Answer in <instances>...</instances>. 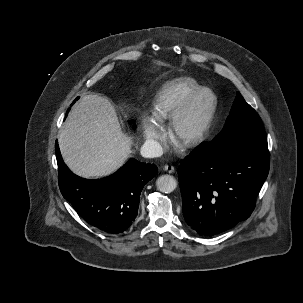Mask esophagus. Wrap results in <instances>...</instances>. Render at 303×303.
<instances>
[{"mask_svg":"<svg viewBox=\"0 0 303 303\" xmlns=\"http://www.w3.org/2000/svg\"><path fill=\"white\" fill-rule=\"evenodd\" d=\"M163 169H164L165 171H167L168 173H174V171H175V168H174V166H172V165H165V166L163 167Z\"/></svg>","mask_w":303,"mask_h":303,"instance_id":"esophagus-1","label":"esophagus"}]
</instances>
